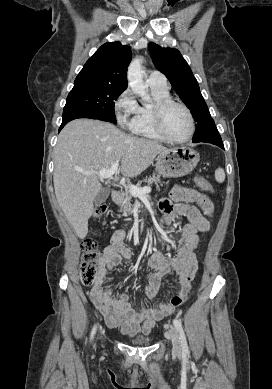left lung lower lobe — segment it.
<instances>
[{
    "instance_id": "left-lung-lower-lobe-1",
    "label": "left lung lower lobe",
    "mask_w": 272,
    "mask_h": 389,
    "mask_svg": "<svg viewBox=\"0 0 272 389\" xmlns=\"http://www.w3.org/2000/svg\"><path fill=\"white\" fill-rule=\"evenodd\" d=\"M197 142L212 143V144L217 145V146L221 147L222 149H224V145L222 143L221 136H220L217 129L212 131L211 133H209L208 135H206L202 139L198 140ZM197 142H194V143H197Z\"/></svg>"
}]
</instances>
